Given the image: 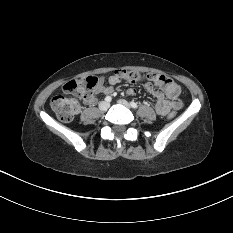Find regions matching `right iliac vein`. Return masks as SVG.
Instances as JSON below:
<instances>
[{"label": "right iliac vein", "instance_id": "1", "mask_svg": "<svg viewBox=\"0 0 233 233\" xmlns=\"http://www.w3.org/2000/svg\"><path fill=\"white\" fill-rule=\"evenodd\" d=\"M110 104L106 101H103L99 104V108L102 111H106L109 108Z\"/></svg>", "mask_w": 233, "mask_h": 233}]
</instances>
